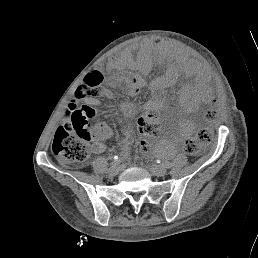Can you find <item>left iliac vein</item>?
<instances>
[{"mask_svg":"<svg viewBox=\"0 0 258 258\" xmlns=\"http://www.w3.org/2000/svg\"><path fill=\"white\" fill-rule=\"evenodd\" d=\"M150 171L153 175L161 176L164 174V169L160 166H151Z\"/></svg>","mask_w":258,"mask_h":258,"instance_id":"4c4485c4","label":"left iliac vein"}]
</instances>
